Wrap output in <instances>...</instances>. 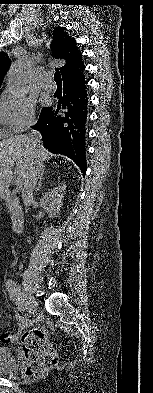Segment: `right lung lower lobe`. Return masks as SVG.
Masks as SVG:
<instances>
[{
  "label": "right lung lower lobe",
  "mask_w": 153,
  "mask_h": 393,
  "mask_svg": "<svg viewBox=\"0 0 153 393\" xmlns=\"http://www.w3.org/2000/svg\"><path fill=\"white\" fill-rule=\"evenodd\" d=\"M83 70L63 78V95L58 96L57 110L44 109L34 128L42 134L43 147L71 158L85 174L87 95Z\"/></svg>",
  "instance_id": "obj_1"
}]
</instances>
